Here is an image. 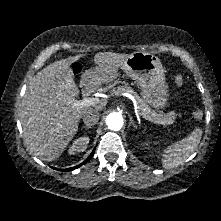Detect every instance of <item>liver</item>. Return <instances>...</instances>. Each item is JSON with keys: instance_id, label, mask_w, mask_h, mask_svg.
Segmentation results:
<instances>
[{"instance_id": "1", "label": "liver", "mask_w": 221, "mask_h": 221, "mask_svg": "<svg viewBox=\"0 0 221 221\" xmlns=\"http://www.w3.org/2000/svg\"><path fill=\"white\" fill-rule=\"evenodd\" d=\"M128 54L104 52L94 56L91 86L110 84ZM82 55L56 61L30 81L22 100L20 120L29 149L43 161L58 158L78 131L80 119L90 110H101L106 100L93 107L73 108L68 101L79 95L70 66ZM111 85L105 89H110Z\"/></svg>"}]
</instances>
